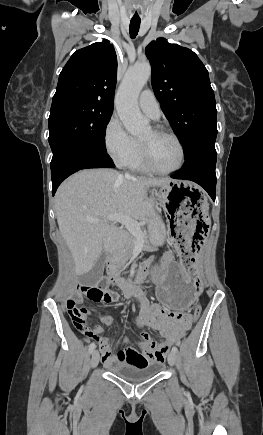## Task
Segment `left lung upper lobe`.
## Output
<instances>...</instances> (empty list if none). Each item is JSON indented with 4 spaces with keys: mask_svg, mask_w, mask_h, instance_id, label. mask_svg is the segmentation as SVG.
Returning <instances> with one entry per match:
<instances>
[{
    "mask_svg": "<svg viewBox=\"0 0 263 435\" xmlns=\"http://www.w3.org/2000/svg\"><path fill=\"white\" fill-rule=\"evenodd\" d=\"M152 65V87L187 156L197 146L215 142L217 110L208 71L190 49L164 38L145 49Z\"/></svg>",
    "mask_w": 263,
    "mask_h": 435,
    "instance_id": "1",
    "label": "left lung upper lobe"
}]
</instances>
